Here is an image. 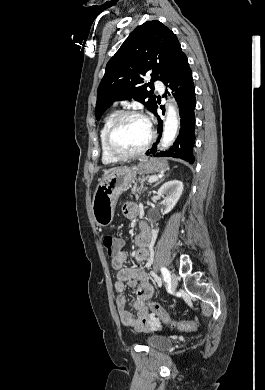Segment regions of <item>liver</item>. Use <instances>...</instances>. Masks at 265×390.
<instances>
[{"label": "liver", "mask_w": 265, "mask_h": 390, "mask_svg": "<svg viewBox=\"0 0 265 390\" xmlns=\"http://www.w3.org/2000/svg\"><path fill=\"white\" fill-rule=\"evenodd\" d=\"M117 168H111V169H108V170H105L104 171V176H106L107 174H109L110 172L116 170Z\"/></svg>", "instance_id": "1"}]
</instances>
